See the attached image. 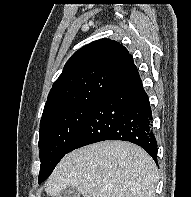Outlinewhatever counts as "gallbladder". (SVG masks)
Instances as JSON below:
<instances>
[{
	"label": "gallbladder",
	"mask_w": 191,
	"mask_h": 197,
	"mask_svg": "<svg viewBox=\"0 0 191 197\" xmlns=\"http://www.w3.org/2000/svg\"><path fill=\"white\" fill-rule=\"evenodd\" d=\"M80 192L75 189V188H71L68 187L66 189H64L58 196L56 197H80Z\"/></svg>",
	"instance_id": "obj_1"
}]
</instances>
